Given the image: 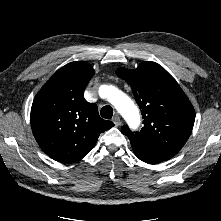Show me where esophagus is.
I'll return each mask as SVG.
<instances>
[{
	"instance_id": "esophagus-1",
	"label": "esophagus",
	"mask_w": 221,
	"mask_h": 221,
	"mask_svg": "<svg viewBox=\"0 0 221 221\" xmlns=\"http://www.w3.org/2000/svg\"><path fill=\"white\" fill-rule=\"evenodd\" d=\"M112 121L114 122V125H115L116 127H118V126L121 125V119H120V117L117 116V115L113 117Z\"/></svg>"
}]
</instances>
